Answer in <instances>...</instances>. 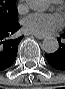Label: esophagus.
<instances>
[{
    "instance_id": "34e87169",
    "label": "esophagus",
    "mask_w": 65,
    "mask_h": 89,
    "mask_svg": "<svg viewBox=\"0 0 65 89\" xmlns=\"http://www.w3.org/2000/svg\"><path fill=\"white\" fill-rule=\"evenodd\" d=\"M30 34L33 35V36H35L38 39H44L46 37L44 35H37V34H32V33H30Z\"/></svg>"
}]
</instances>
